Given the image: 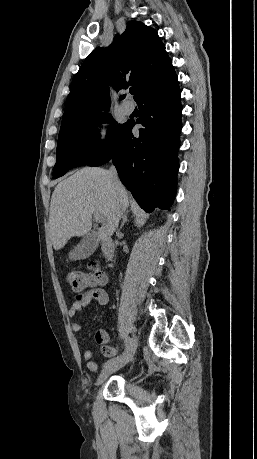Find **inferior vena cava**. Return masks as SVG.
<instances>
[{
	"mask_svg": "<svg viewBox=\"0 0 257 459\" xmlns=\"http://www.w3.org/2000/svg\"><path fill=\"white\" fill-rule=\"evenodd\" d=\"M109 177L111 179V181L115 184H118L120 181H119V178H118V174H117V170L114 166H111L110 167V170H109ZM117 227V226H116Z\"/></svg>",
	"mask_w": 257,
	"mask_h": 459,
	"instance_id": "602c4592",
	"label": "inferior vena cava"
}]
</instances>
